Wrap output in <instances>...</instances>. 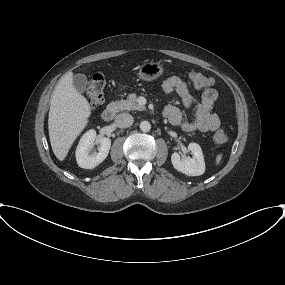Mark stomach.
Instances as JSON below:
<instances>
[{"instance_id":"obj_1","label":"stomach","mask_w":285,"mask_h":285,"mask_svg":"<svg viewBox=\"0 0 285 285\" xmlns=\"http://www.w3.org/2000/svg\"><path fill=\"white\" fill-rule=\"evenodd\" d=\"M164 72V67L161 62H145L138 70V76L143 81H153L159 78Z\"/></svg>"}]
</instances>
